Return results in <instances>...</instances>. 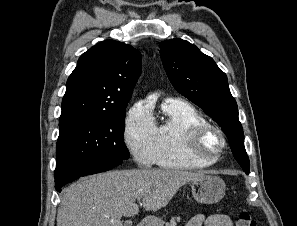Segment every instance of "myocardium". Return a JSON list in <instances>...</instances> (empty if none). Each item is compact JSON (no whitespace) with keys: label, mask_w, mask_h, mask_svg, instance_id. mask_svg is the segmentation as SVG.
Here are the masks:
<instances>
[{"label":"myocardium","mask_w":297,"mask_h":226,"mask_svg":"<svg viewBox=\"0 0 297 226\" xmlns=\"http://www.w3.org/2000/svg\"><path fill=\"white\" fill-rule=\"evenodd\" d=\"M211 135L215 136L219 142V147L214 153H210L204 149V142ZM186 144L187 150L193 158L206 164H213L223 154L227 140L219 127L211 123H204L191 129L187 136Z\"/></svg>","instance_id":"f54148a6"}]
</instances>
